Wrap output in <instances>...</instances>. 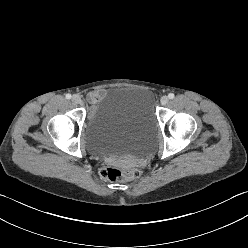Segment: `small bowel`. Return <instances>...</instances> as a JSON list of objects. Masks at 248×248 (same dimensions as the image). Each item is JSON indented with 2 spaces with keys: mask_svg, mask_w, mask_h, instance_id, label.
Wrapping results in <instances>:
<instances>
[{
  "mask_svg": "<svg viewBox=\"0 0 248 248\" xmlns=\"http://www.w3.org/2000/svg\"><path fill=\"white\" fill-rule=\"evenodd\" d=\"M104 96V92L101 90L93 91L89 94V98L93 103H96Z\"/></svg>",
  "mask_w": 248,
  "mask_h": 248,
  "instance_id": "c3829d8e",
  "label": "small bowel"
}]
</instances>
